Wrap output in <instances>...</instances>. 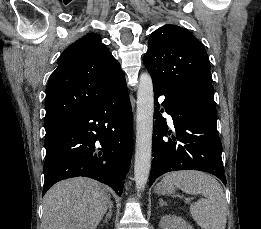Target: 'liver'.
Here are the masks:
<instances>
[{"label":"liver","mask_w":261,"mask_h":229,"mask_svg":"<svg viewBox=\"0 0 261 229\" xmlns=\"http://www.w3.org/2000/svg\"><path fill=\"white\" fill-rule=\"evenodd\" d=\"M44 201L42 229H97L111 203L103 185L87 177L56 183Z\"/></svg>","instance_id":"6515ba94"}]
</instances>
